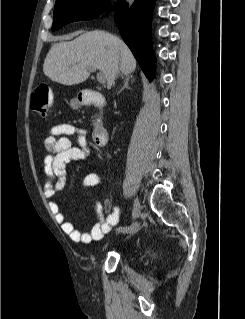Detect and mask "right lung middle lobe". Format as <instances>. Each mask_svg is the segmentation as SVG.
<instances>
[{"label":"right lung middle lobe","instance_id":"right-lung-middle-lobe-1","mask_svg":"<svg viewBox=\"0 0 245 319\" xmlns=\"http://www.w3.org/2000/svg\"><path fill=\"white\" fill-rule=\"evenodd\" d=\"M99 5H110L109 0H56L52 30L78 20H90L99 14Z\"/></svg>","mask_w":245,"mask_h":319}]
</instances>
